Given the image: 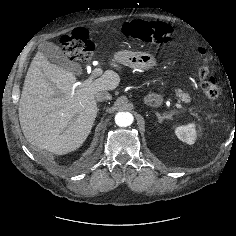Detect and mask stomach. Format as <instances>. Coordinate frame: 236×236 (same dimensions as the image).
<instances>
[{"instance_id": "stomach-1", "label": "stomach", "mask_w": 236, "mask_h": 236, "mask_svg": "<svg viewBox=\"0 0 236 236\" xmlns=\"http://www.w3.org/2000/svg\"><path fill=\"white\" fill-rule=\"evenodd\" d=\"M121 64L134 69H150L156 64L155 57L150 53L121 51L114 55ZM163 102L162 94H148L144 98V103L151 107H158Z\"/></svg>"}]
</instances>
